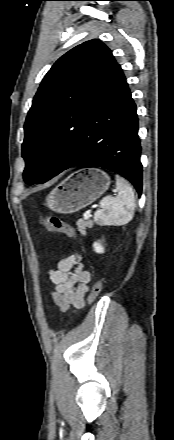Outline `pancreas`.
I'll list each match as a JSON object with an SVG mask.
<instances>
[{
    "instance_id": "cf45deb5",
    "label": "pancreas",
    "mask_w": 174,
    "mask_h": 440,
    "mask_svg": "<svg viewBox=\"0 0 174 440\" xmlns=\"http://www.w3.org/2000/svg\"><path fill=\"white\" fill-rule=\"evenodd\" d=\"M76 224L78 227V231L81 233V235H86V229L93 227L92 220H88V221L79 220V221H77Z\"/></svg>"
}]
</instances>
